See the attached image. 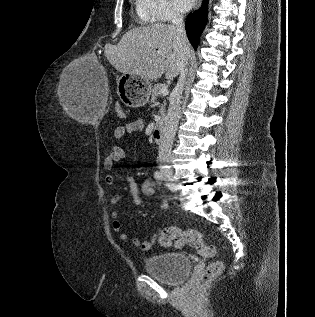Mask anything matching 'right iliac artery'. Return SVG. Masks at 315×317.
I'll return each mask as SVG.
<instances>
[{
    "label": "right iliac artery",
    "instance_id": "82829eb1",
    "mask_svg": "<svg viewBox=\"0 0 315 317\" xmlns=\"http://www.w3.org/2000/svg\"><path fill=\"white\" fill-rule=\"evenodd\" d=\"M154 178L157 180L158 183L161 184V182H162V174L159 171L155 172Z\"/></svg>",
    "mask_w": 315,
    "mask_h": 317
}]
</instances>
